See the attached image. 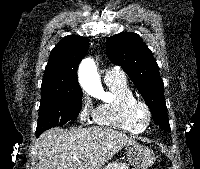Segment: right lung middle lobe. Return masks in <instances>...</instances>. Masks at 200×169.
Wrapping results in <instances>:
<instances>
[{
  "label": "right lung middle lobe",
  "instance_id": "dd1d6c3e",
  "mask_svg": "<svg viewBox=\"0 0 200 169\" xmlns=\"http://www.w3.org/2000/svg\"><path fill=\"white\" fill-rule=\"evenodd\" d=\"M82 92L52 97H42L36 129L38 137L43 131L55 126H63L78 115L81 109Z\"/></svg>",
  "mask_w": 200,
  "mask_h": 169
}]
</instances>
